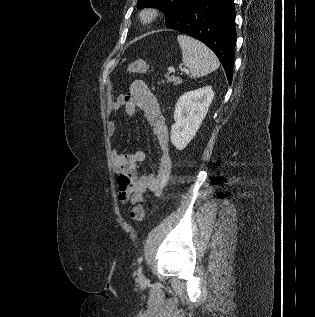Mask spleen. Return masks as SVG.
<instances>
[{
  "label": "spleen",
  "instance_id": "1",
  "mask_svg": "<svg viewBox=\"0 0 315 317\" xmlns=\"http://www.w3.org/2000/svg\"><path fill=\"white\" fill-rule=\"evenodd\" d=\"M177 40L182 51V62L189 68L192 78L205 76L219 67L216 55L202 42L186 35H178Z\"/></svg>",
  "mask_w": 315,
  "mask_h": 317
}]
</instances>
